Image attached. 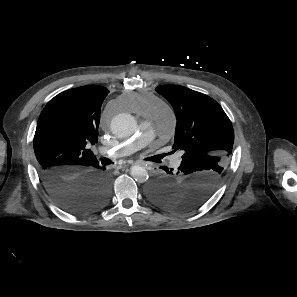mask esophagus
<instances>
[{"mask_svg":"<svg viewBox=\"0 0 297 297\" xmlns=\"http://www.w3.org/2000/svg\"><path fill=\"white\" fill-rule=\"evenodd\" d=\"M134 164H136V165H145V162L136 161Z\"/></svg>","mask_w":297,"mask_h":297,"instance_id":"esophagus-1","label":"esophagus"}]
</instances>
